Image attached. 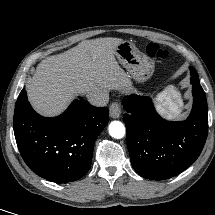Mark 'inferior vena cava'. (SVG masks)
<instances>
[{"mask_svg":"<svg viewBox=\"0 0 215 215\" xmlns=\"http://www.w3.org/2000/svg\"><path fill=\"white\" fill-rule=\"evenodd\" d=\"M87 99L94 106H106L109 95L106 91H95L87 94Z\"/></svg>","mask_w":215,"mask_h":215,"instance_id":"602c4592","label":"inferior vena cava"}]
</instances>
